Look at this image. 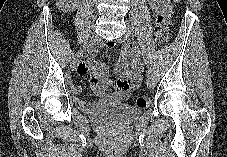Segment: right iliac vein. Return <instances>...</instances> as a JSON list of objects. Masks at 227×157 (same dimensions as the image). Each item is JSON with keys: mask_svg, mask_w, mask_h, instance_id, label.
I'll list each match as a JSON object with an SVG mask.
<instances>
[{"mask_svg": "<svg viewBox=\"0 0 227 157\" xmlns=\"http://www.w3.org/2000/svg\"><path fill=\"white\" fill-rule=\"evenodd\" d=\"M98 40H99V37H98V35L95 34V33H93V34L89 37L88 41L83 45V50L79 51V52L75 55V57L73 58L72 63H71L72 69H75V68H76V65H77L78 61H79V60L82 58V56H83V52H84V51H90V50L94 47V45L98 42Z\"/></svg>", "mask_w": 227, "mask_h": 157, "instance_id": "right-iliac-vein-1", "label": "right iliac vein"}]
</instances>
